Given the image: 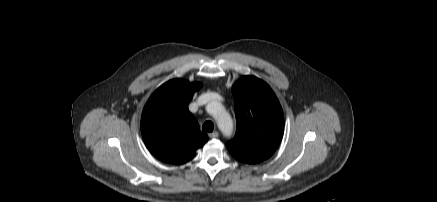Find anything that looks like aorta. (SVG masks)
Here are the masks:
<instances>
[{
    "label": "aorta",
    "instance_id": "aorta-1",
    "mask_svg": "<svg viewBox=\"0 0 437 202\" xmlns=\"http://www.w3.org/2000/svg\"><path fill=\"white\" fill-rule=\"evenodd\" d=\"M211 114L215 117L218 128L225 137H230L233 133V120L223 105L219 102L209 104Z\"/></svg>",
    "mask_w": 437,
    "mask_h": 202
}]
</instances>
